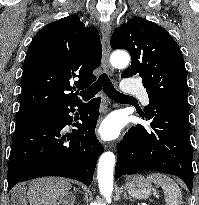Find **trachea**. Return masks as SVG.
<instances>
[{
  "instance_id": "1",
  "label": "trachea",
  "mask_w": 199,
  "mask_h": 205,
  "mask_svg": "<svg viewBox=\"0 0 199 205\" xmlns=\"http://www.w3.org/2000/svg\"><path fill=\"white\" fill-rule=\"evenodd\" d=\"M101 89H103L105 94L113 100H122L130 97L118 92L114 88L112 82L110 81L106 73H102L98 80L88 89L81 91L80 95L84 99H90L94 97Z\"/></svg>"
}]
</instances>
